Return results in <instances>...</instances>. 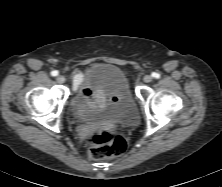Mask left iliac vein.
<instances>
[{"label": "left iliac vein", "instance_id": "left-iliac-vein-1", "mask_svg": "<svg viewBox=\"0 0 222 187\" xmlns=\"http://www.w3.org/2000/svg\"><path fill=\"white\" fill-rule=\"evenodd\" d=\"M143 80L145 83H150V82H152L153 78L151 75H146V76H144Z\"/></svg>", "mask_w": 222, "mask_h": 187}]
</instances>
